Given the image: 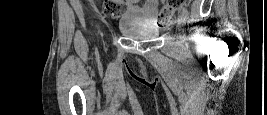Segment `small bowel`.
Masks as SVG:
<instances>
[{
	"label": "small bowel",
	"mask_w": 267,
	"mask_h": 115,
	"mask_svg": "<svg viewBox=\"0 0 267 115\" xmlns=\"http://www.w3.org/2000/svg\"><path fill=\"white\" fill-rule=\"evenodd\" d=\"M129 8L145 12L148 18L154 20L157 17L158 0H146L142 5L129 2Z\"/></svg>",
	"instance_id": "1"
}]
</instances>
